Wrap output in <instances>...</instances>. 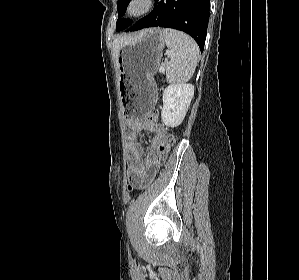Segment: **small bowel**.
Wrapping results in <instances>:
<instances>
[{
	"label": "small bowel",
	"instance_id": "obj_1",
	"mask_svg": "<svg viewBox=\"0 0 299 280\" xmlns=\"http://www.w3.org/2000/svg\"><path fill=\"white\" fill-rule=\"evenodd\" d=\"M130 129V162L128 165V178L130 182H141L147 178H153L161 165L158 160L161 148L165 143L167 130L163 125L155 121H138L129 122ZM139 132H151L154 137L149 146L146 156H144V148L137 141L136 135Z\"/></svg>",
	"mask_w": 299,
	"mask_h": 280
}]
</instances>
